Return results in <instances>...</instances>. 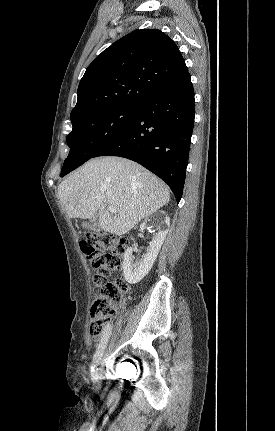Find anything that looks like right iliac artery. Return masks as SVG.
Returning a JSON list of instances; mask_svg holds the SVG:
<instances>
[{
	"mask_svg": "<svg viewBox=\"0 0 275 431\" xmlns=\"http://www.w3.org/2000/svg\"><path fill=\"white\" fill-rule=\"evenodd\" d=\"M111 332H112V324L108 323L106 325L104 331H103L101 341L97 346V350H96V353L94 355L93 362L91 365V372H92V376L94 378L97 376V370H98L97 367H98V364H99L101 357L104 353V350L106 348V345H107L108 339L111 335Z\"/></svg>",
	"mask_w": 275,
	"mask_h": 431,
	"instance_id": "1",
	"label": "right iliac artery"
}]
</instances>
